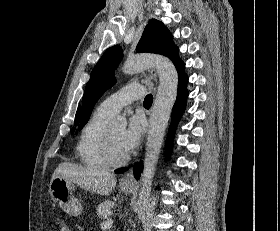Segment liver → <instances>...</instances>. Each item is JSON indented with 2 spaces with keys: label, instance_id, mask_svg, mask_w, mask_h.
Here are the masks:
<instances>
[{
  "label": "liver",
  "instance_id": "liver-1",
  "mask_svg": "<svg viewBox=\"0 0 280 231\" xmlns=\"http://www.w3.org/2000/svg\"><path fill=\"white\" fill-rule=\"evenodd\" d=\"M53 177H65L72 183H77L82 189H87L91 193H100V195H110L116 185V177L114 173H97L89 167H81L78 163H69L62 161L56 167Z\"/></svg>",
  "mask_w": 280,
  "mask_h": 231
}]
</instances>
